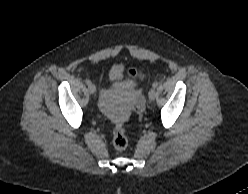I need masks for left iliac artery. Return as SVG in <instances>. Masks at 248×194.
Segmentation results:
<instances>
[{
  "mask_svg": "<svg viewBox=\"0 0 248 194\" xmlns=\"http://www.w3.org/2000/svg\"><path fill=\"white\" fill-rule=\"evenodd\" d=\"M158 86L157 83H153V87L156 88Z\"/></svg>",
  "mask_w": 248,
  "mask_h": 194,
  "instance_id": "44dca946",
  "label": "left iliac artery"
}]
</instances>
